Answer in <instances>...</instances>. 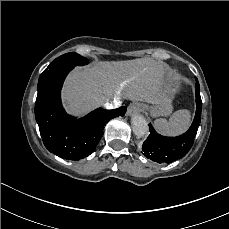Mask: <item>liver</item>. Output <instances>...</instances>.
I'll return each mask as SVG.
<instances>
[{
  "mask_svg": "<svg viewBox=\"0 0 229 229\" xmlns=\"http://www.w3.org/2000/svg\"><path fill=\"white\" fill-rule=\"evenodd\" d=\"M177 80L179 76H173L167 64L152 58L99 61L72 71L62 98L67 112L74 115L86 114L113 97L172 106Z\"/></svg>",
  "mask_w": 229,
  "mask_h": 229,
  "instance_id": "liver-1",
  "label": "liver"
}]
</instances>
